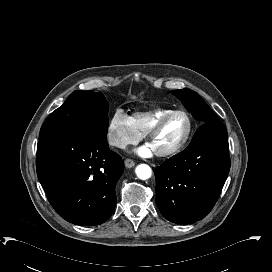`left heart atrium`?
<instances>
[{"label": "left heart atrium", "mask_w": 272, "mask_h": 272, "mask_svg": "<svg viewBox=\"0 0 272 272\" xmlns=\"http://www.w3.org/2000/svg\"><path fill=\"white\" fill-rule=\"evenodd\" d=\"M137 153H138V155H140L142 157H148V156H151L154 153V151L149 144H146V145H143L142 147H140L137 150Z\"/></svg>", "instance_id": "1"}]
</instances>
